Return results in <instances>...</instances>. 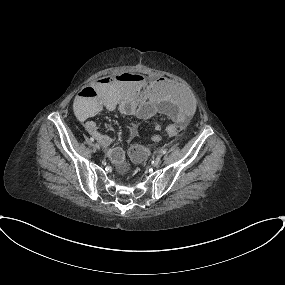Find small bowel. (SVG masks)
I'll list each match as a JSON object with an SVG mask.
<instances>
[{"label": "small bowel", "mask_w": 285, "mask_h": 285, "mask_svg": "<svg viewBox=\"0 0 285 285\" xmlns=\"http://www.w3.org/2000/svg\"><path fill=\"white\" fill-rule=\"evenodd\" d=\"M122 73L113 77H103L88 88L80 91L73 100L75 113L85 121L87 132L105 149L107 155L117 165H122L125 149L122 146L111 147L110 136L100 132L93 116L103 109L118 110L125 116L138 119H148L157 113L164 114L180 128L184 127L194 115L196 104L193 98L178 82L168 78L147 80L139 74H130L135 79H125ZM95 94L96 99H88ZM169 136H175L178 131L167 130ZM138 126L133 123L129 127V137L135 138Z\"/></svg>", "instance_id": "c3829d8e"}]
</instances>
